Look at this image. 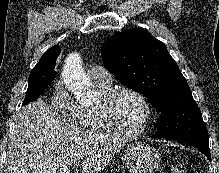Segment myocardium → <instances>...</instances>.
Instances as JSON below:
<instances>
[{"label":"myocardium","mask_w":219,"mask_h":173,"mask_svg":"<svg viewBox=\"0 0 219 173\" xmlns=\"http://www.w3.org/2000/svg\"><path fill=\"white\" fill-rule=\"evenodd\" d=\"M125 93L136 96L143 104L144 110H145V114H144V118H143V122L141 126L138 129L133 130V131H127L119 127L114 121L112 112H111V107L114 101L120 95L125 94ZM98 109H99L100 116L103 122L105 123V125L107 126V128L114 134L118 136L126 137V138H135L145 133L151 123L152 116H153V107L150 101L148 100V98L142 92L132 87H118V88L111 89L106 94L101 96V99L98 104Z\"/></svg>","instance_id":"obj_1"}]
</instances>
